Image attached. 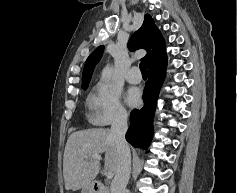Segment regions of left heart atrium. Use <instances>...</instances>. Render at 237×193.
<instances>
[{
    "label": "left heart atrium",
    "mask_w": 237,
    "mask_h": 193,
    "mask_svg": "<svg viewBox=\"0 0 237 193\" xmlns=\"http://www.w3.org/2000/svg\"><path fill=\"white\" fill-rule=\"evenodd\" d=\"M141 101L140 92L137 90H130L127 95V102L130 106L135 107Z\"/></svg>",
    "instance_id": "39dd6f15"
}]
</instances>
